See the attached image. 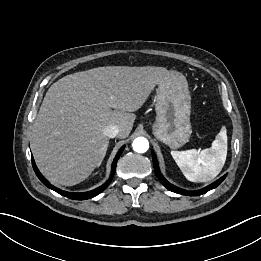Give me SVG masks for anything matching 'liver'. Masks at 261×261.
Returning <instances> with one entry per match:
<instances>
[{
	"instance_id": "obj_1",
	"label": "liver",
	"mask_w": 261,
	"mask_h": 261,
	"mask_svg": "<svg viewBox=\"0 0 261 261\" xmlns=\"http://www.w3.org/2000/svg\"><path fill=\"white\" fill-rule=\"evenodd\" d=\"M170 72L164 67L106 66L67 75L48 89L33 123L31 145L42 174L55 185L84 181L101 164L117 125L126 138L137 111Z\"/></svg>"
}]
</instances>
